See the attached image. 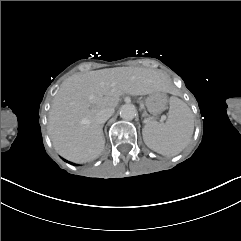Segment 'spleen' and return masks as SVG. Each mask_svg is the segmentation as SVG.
<instances>
[{
	"label": "spleen",
	"mask_w": 241,
	"mask_h": 241,
	"mask_svg": "<svg viewBox=\"0 0 241 241\" xmlns=\"http://www.w3.org/2000/svg\"><path fill=\"white\" fill-rule=\"evenodd\" d=\"M169 106L166 123L150 121L142 128L146 146L164 156L179 154L187 146L194 130L193 114L182 100L171 97Z\"/></svg>",
	"instance_id": "1"
}]
</instances>
